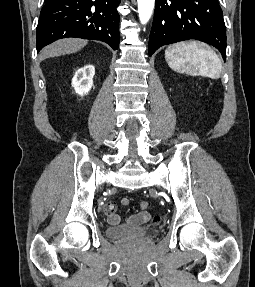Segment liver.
Wrapping results in <instances>:
<instances>
[{
  "label": "liver",
  "instance_id": "1",
  "mask_svg": "<svg viewBox=\"0 0 255 287\" xmlns=\"http://www.w3.org/2000/svg\"><path fill=\"white\" fill-rule=\"evenodd\" d=\"M88 40H76V38H66V40H57L40 52L41 60L45 58H55V56H65V54H75L86 46Z\"/></svg>",
  "mask_w": 255,
  "mask_h": 287
}]
</instances>
